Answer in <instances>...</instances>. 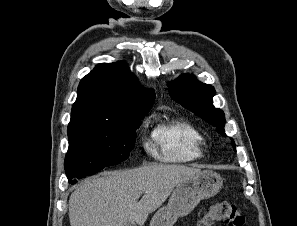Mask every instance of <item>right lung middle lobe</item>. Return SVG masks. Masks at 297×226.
<instances>
[{"mask_svg": "<svg viewBox=\"0 0 297 226\" xmlns=\"http://www.w3.org/2000/svg\"><path fill=\"white\" fill-rule=\"evenodd\" d=\"M151 107L127 108L116 124L70 122L69 148L65 171L69 181L96 173L129 157L136 140V129Z\"/></svg>", "mask_w": 297, "mask_h": 226, "instance_id": "right-lung-middle-lobe-1", "label": "right lung middle lobe"}]
</instances>
